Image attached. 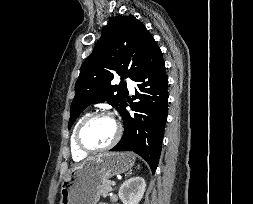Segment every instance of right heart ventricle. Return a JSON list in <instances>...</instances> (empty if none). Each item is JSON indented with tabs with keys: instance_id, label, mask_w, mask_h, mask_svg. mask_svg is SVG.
<instances>
[{
	"instance_id": "obj_1",
	"label": "right heart ventricle",
	"mask_w": 253,
	"mask_h": 204,
	"mask_svg": "<svg viewBox=\"0 0 253 204\" xmlns=\"http://www.w3.org/2000/svg\"><path fill=\"white\" fill-rule=\"evenodd\" d=\"M86 117L82 116L76 123L73 131H72V135H71V139H70V147H71V154H72V158L75 161H80L82 159H84L87 155V153L82 152L81 150H79V148L76 145V140H75V135H76V130L79 126V124L81 123V121Z\"/></svg>"
}]
</instances>
